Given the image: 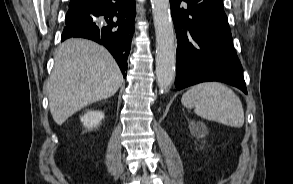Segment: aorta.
<instances>
[{"label":"aorta","mask_w":293,"mask_h":184,"mask_svg":"<svg viewBox=\"0 0 293 184\" xmlns=\"http://www.w3.org/2000/svg\"><path fill=\"white\" fill-rule=\"evenodd\" d=\"M156 32V77L161 93H167L176 71V46L169 0H151Z\"/></svg>","instance_id":"762f6f07"}]
</instances>
